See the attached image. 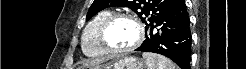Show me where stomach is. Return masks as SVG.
Listing matches in <instances>:
<instances>
[{"instance_id": "obj_1", "label": "stomach", "mask_w": 246, "mask_h": 69, "mask_svg": "<svg viewBox=\"0 0 246 69\" xmlns=\"http://www.w3.org/2000/svg\"><path fill=\"white\" fill-rule=\"evenodd\" d=\"M143 61L136 57H121L106 64L92 63L79 67L78 69H144Z\"/></svg>"}]
</instances>
